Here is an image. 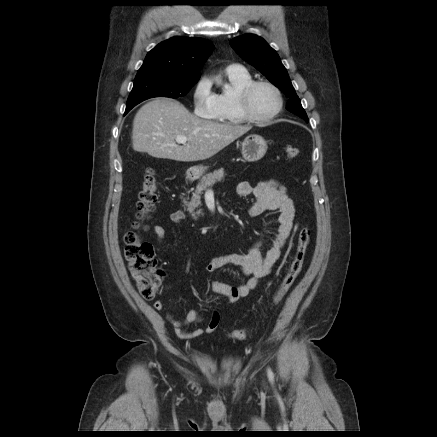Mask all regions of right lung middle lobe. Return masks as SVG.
Instances as JSON below:
<instances>
[{"label":"right lung middle lobe","mask_w":437,"mask_h":437,"mask_svg":"<svg viewBox=\"0 0 437 437\" xmlns=\"http://www.w3.org/2000/svg\"><path fill=\"white\" fill-rule=\"evenodd\" d=\"M198 79L199 77H179L157 69L138 72L127 100L125 114L149 98L185 96Z\"/></svg>","instance_id":"dd1d6c3e"}]
</instances>
